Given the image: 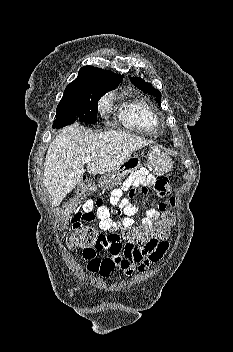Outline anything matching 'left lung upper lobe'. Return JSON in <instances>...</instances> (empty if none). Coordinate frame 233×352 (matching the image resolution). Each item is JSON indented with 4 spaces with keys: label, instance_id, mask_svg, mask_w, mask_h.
<instances>
[{
    "label": "left lung upper lobe",
    "instance_id": "left-lung-upper-lobe-1",
    "mask_svg": "<svg viewBox=\"0 0 233 352\" xmlns=\"http://www.w3.org/2000/svg\"><path fill=\"white\" fill-rule=\"evenodd\" d=\"M131 82L144 93L153 95L156 97L157 103L160 105L161 103V92L154 87L150 83H146L143 79L138 77L130 78Z\"/></svg>",
    "mask_w": 233,
    "mask_h": 352
}]
</instances>
